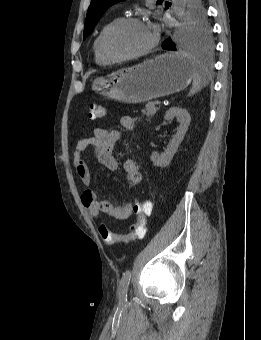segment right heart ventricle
<instances>
[{"label": "right heart ventricle", "mask_w": 261, "mask_h": 340, "mask_svg": "<svg viewBox=\"0 0 261 340\" xmlns=\"http://www.w3.org/2000/svg\"><path fill=\"white\" fill-rule=\"evenodd\" d=\"M117 20V18L113 17L111 19H109L107 22H105L103 24V26L100 28L98 34L96 35L94 42H93V52H94V57H95V61L98 65L101 66H107L110 65L112 63H114V61L108 59L107 57L104 56V54L101 51V47H100V41H101V37L104 33V31L115 21Z\"/></svg>", "instance_id": "obj_1"}]
</instances>
